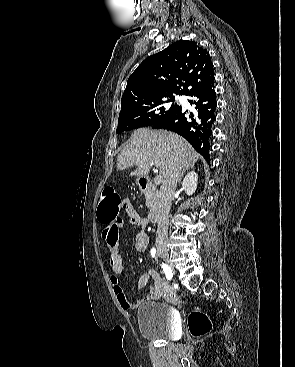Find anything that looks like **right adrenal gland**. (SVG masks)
Wrapping results in <instances>:
<instances>
[{
    "label": "right adrenal gland",
    "mask_w": 295,
    "mask_h": 367,
    "mask_svg": "<svg viewBox=\"0 0 295 367\" xmlns=\"http://www.w3.org/2000/svg\"><path fill=\"white\" fill-rule=\"evenodd\" d=\"M190 169H194V164L189 165V166H186L185 168H183V170H182V172H181V174H180V176H179L178 183H180V182H181V180H182V178H183V176H184V173H185L187 170H190Z\"/></svg>",
    "instance_id": "2a0ac1e0"
}]
</instances>
